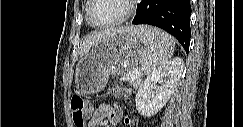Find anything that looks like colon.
<instances>
[{
    "instance_id": "colon-1",
    "label": "colon",
    "mask_w": 243,
    "mask_h": 127,
    "mask_svg": "<svg viewBox=\"0 0 243 127\" xmlns=\"http://www.w3.org/2000/svg\"><path fill=\"white\" fill-rule=\"evenodd\" d=\"M116 95L124 96L126 98L130 97V91L127 89H123L117 87ZM71 112L72 119L75 127H84L86 123L87 116L89 114V107L85 101V99L80 95H75L71 99ZM124 123L126 125H130L131 120L126 117L124 119Z\"/></svg>"
}]
</instances>
